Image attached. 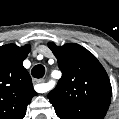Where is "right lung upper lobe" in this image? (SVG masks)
Masks as SVG:
<instances>
[{"label": "right lung upper lobe", "mask_w": 119, "mask_h": 119, "mask_svg": "<svg viewBox=\"0 0 119 119\" xmlns=\"http://www.w3.org/2000/svg\"><path fill=\"white\" fill-rule=\"evenodd\" d=\"M30 50L29 44L0 47V119H23L27 105L37 95L32 79L23 67Z\"/></svg>", "instance_id": "1"}]
</instances>
